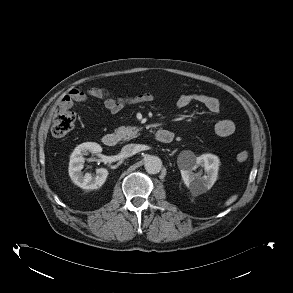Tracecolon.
Segmentation results:
<instances>
[{"label": "colon", "mask_w": 293, "mask_h": 293, "mask_svg": "<svg viewBox=\"0 0 293 293\" xmlns=\"http://www.w3.org/2000/svg\"><path fill=\"white\" fill-rule=\"evenodd\" d=\"M76 116L69 108L59 106L56 110L52 121V134L55 137H63L68 134L75 126ZM248 152L241 151L236 155L239 162H244L248 159Z\"/></svg>", "instance_id": "1"}]
</instances>
